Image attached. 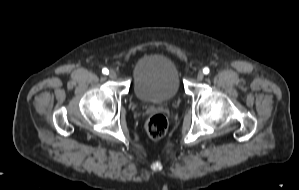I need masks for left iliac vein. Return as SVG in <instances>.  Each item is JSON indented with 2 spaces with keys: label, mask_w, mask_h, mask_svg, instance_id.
<instances>
[{
  "label": "left iliac vein",
  "mask_w": 299,
  "mask_h": 190,
  "mask_svg": "<svg viewBox=\"0 0 299 190\" xmlns=\"http://www.w3.org/2000/svg\"><path fill=\"white\" fill-rule=\"evenodd\" d=\"M203 78H204V73L202 71H199L197 73V80L201 81V80H203Z\"/></svg>",
  "instance_id": "left-iliac-vein-1"
}]
</instances>
